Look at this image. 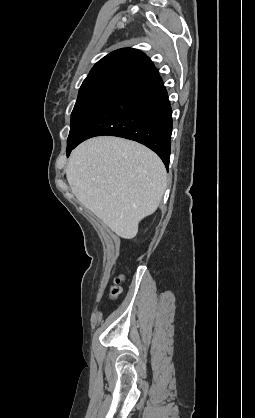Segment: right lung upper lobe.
Returning <instances> with one entry per match:
<instances>
[{"instance_id": "obj_1", "label": "right lung upper lobe", "mask_w": 255, "mask_h": 418, "mask_svg": "<svg viewBox=\"0 0 255 418\" xmlns=\"http://www.w3.org/2000/svg\"><path fill=\"white\" fill-rule=\"evenodd\" d=\"M158 74L152 61L132 48L116 50L95 64L82 85L110 83L128 87Z\"/></svg>"}]
</instances>
